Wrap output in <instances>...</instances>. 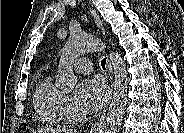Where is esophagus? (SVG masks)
<instances>
[{"mask_svg": "<svg viewBox=\"0 0 184 133\" xmlns=\"http://www.w3.org/2000/svg\"><path fill=\"white\" fill-rule=\"evenodd\" d=\"M93 18L95 19L97 26L102 30L103 34H105L104 28H103V24L101 22V20L99 19L98 15L96 14V12L94 10L91 11ZM107 67L110 70V72H112V66H111V62L109 60V58L107 59ZM110 80L112 81V76L110 77ZM112 97V87L110 89V98ZM105 119V113L99 118V120L94 124L93 128L91 129L92 132H99L103 121Z\"/></svg>", "mask_w": 184, "mask_h": 133, "instance_id": "esophagus-1", "label": "esophagus"}]
</instances>
